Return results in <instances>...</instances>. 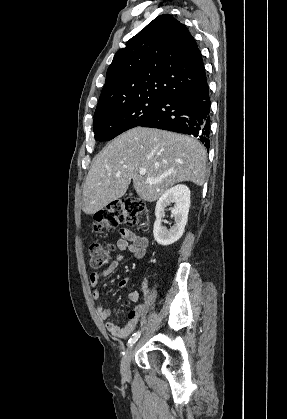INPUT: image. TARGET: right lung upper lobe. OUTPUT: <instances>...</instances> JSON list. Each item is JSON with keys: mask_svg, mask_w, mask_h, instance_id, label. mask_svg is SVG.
I'll use <instances>...</instances> for the list:
<instances>
[{"mask_svg": "<svg viewBox=\"0 0 287 419\" xmlns=\"http://www.w3.org/2000/svg\"><path fill=\"white\" fill-rule=\"evenodd\" d=\"M206 78L200 50L187 27L160 15L114 56L96 112L139 98L161 97Z\"/></svg>", "mask_w": 287, "mask_h": 419, "instance_id": "1", "label": "right lung upper lobe"}]
</instances>
